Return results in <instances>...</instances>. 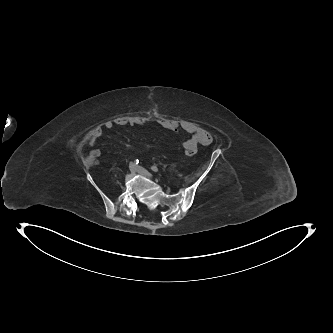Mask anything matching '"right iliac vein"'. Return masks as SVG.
Instances as JSON below:
<instances>
[{"label": "right iliac vein", "instance_id": "63e3f726", "mask_svg": "<svg viewBox=\"0 0 333 333\" xmlns=\"http://www.w3.org/2000/svg\"><path fill=\"white\" fill-rule=\"evenodd\" d=\"M129 168H130V172L132 174H134L136 172V166H135V164L131 163Z\"/></svg>", "mask_w": 333, "mask_h": 333}]
</instances>
